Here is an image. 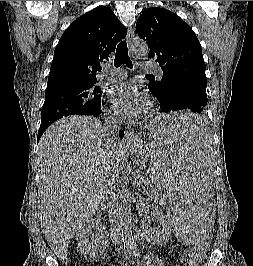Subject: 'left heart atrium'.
<instances>
[{"instance_id": "left-heart-atrium-1", "label": "left heart atrium", "mask_w": 253, "mask_h": 266, "mask_svg": "<svg viewBox=\"0 0 253 266\" xmlns=\"http://www.w3.org/2000/svg\"><path fill=\"white\" fill-rule=\"evenodd\" d=\"M114 106L126 117L135 118L142 115L147 108V97L143 90L131 82L115 85L110 92Z\"/></svg>"}]
</instances>
